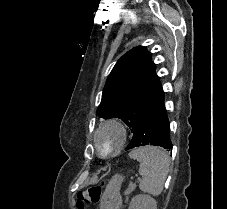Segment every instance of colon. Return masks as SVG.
Wrapping results in <instances>:
<instances>
[{
  "mask_svg": "<svg viewBox=\"0 0 227 209\" xmlns=\"http://www.w3.org/2000/svg\"><path fill=\"white\" fill-rule=\"evenodd\" d=\"M103 188L97 185L81 190L77 194V209H86L89 204H96L101 199Z\"/></svg>",
  "mask_w": 227,
  "mask_h": 209,
  "instance_id": "obj_1",
  "label": "colon"
}]
</instances>
